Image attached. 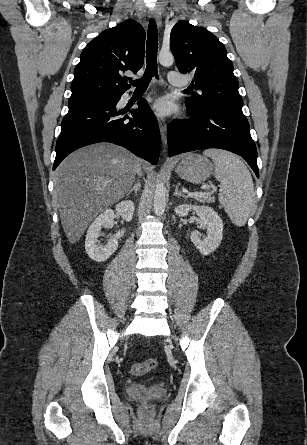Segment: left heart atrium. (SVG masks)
<instances>
[{
  "label": "left heart atrium",
  "instance_id": "obj_1",
  "mask_svg": "<svg viewBox=\"0 0 307 445\" xmlns=\"http://www.w3.org/2000/svg\"><path fill=\"white\" fill-rule=\"evenodd\" d=\"M153 108L159 115H167L171 111V102L168 98H161L154 103Z\"/></svg>",
  "mask_w": 307,
  "mask_h": 445
}]
</instances>
